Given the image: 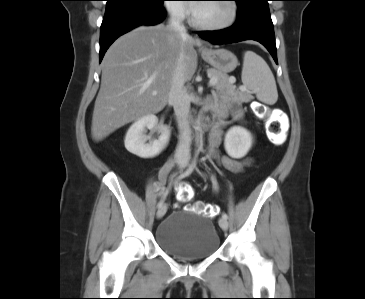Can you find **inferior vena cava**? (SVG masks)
Listing matches in <instances>:
<instances>
[{"instance_id":"602c4592","label":"inferior vena cava","mask_w":365,"mask_h":299,"mask_svg":"<svg viewBox=\"0 0 365 299\" xmlns=\"http://www.w3.org/2000/svg\"><path fill=\"white\" fill-rule=\"evenodd\" d=\"M184 14L182 9L176 8L171 11L169 28L176 31L182 38L188 36L187 30L183 25ZM183 55L178 58L176 68L172 77V85L169 93L168 102L174 108L179 125V142L176 148L175 157L177 160L188 159L190 157L191 129L189 126L188 115L190 110V97L184 86V65Z\"/></svg>"}]
</instances>
